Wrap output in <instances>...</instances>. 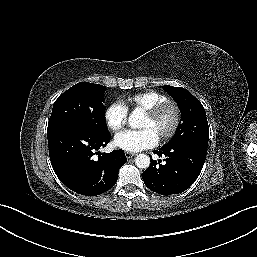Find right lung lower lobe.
<instances>
[{"mask_svg":"<svg viewBox=\"0 0 257 257\" xmlns=\"http://www.w3.org/2000/svg\"><path fill=\"white\" fill-rule=\"evenodd\" d=\"M47 138L50 161L57 177L81 195L96 196L111 189L118 179L119 169L127 161L123 150L100 153L96 159L94 152L105 147L111 135L98 134L78 123L49 126Z\"/></svg>","mask_w":257,"mask_h":257,"instance_id":"right-lung-lower-lobe-1","label":"right lung lower lobe"}]
</instances>
